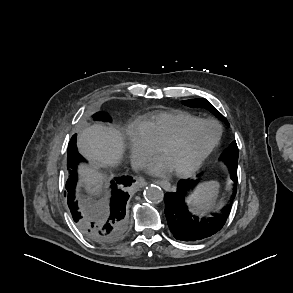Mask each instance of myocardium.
Segmentation results:
<instances>
[{"mask_svg": "<svg viewBox=\"0 0 293 293\" xmlns=\"http://www.w3.org/2000/svg\"><path fill=\"white\" fill-rule=\"evenodd\" d=\"M199 124H210V125L216 126L217 130H218L217 135H216L215 139L212 141V143L207 147V149L191 165H189L188 167H186L184 169L174 171L175 175H177L179 177H187V176H190L193 173H195L202 166V164L206 161V159L212 154V152L217 148V146L219 145V143L221 141L222 133H223L221 125L214 120L197 119L195 121H192V122L186 124L173 137L162 142L158 146L159 152H162L166 148L177 145L178 143H180L184 139L186 133L191 128H193L194 126L199 125Z\"/></svg>", "mask_w": 293, "mask_h": 293, "instance_id": "obj_1", "label": "myocardium"}]
</instances>
